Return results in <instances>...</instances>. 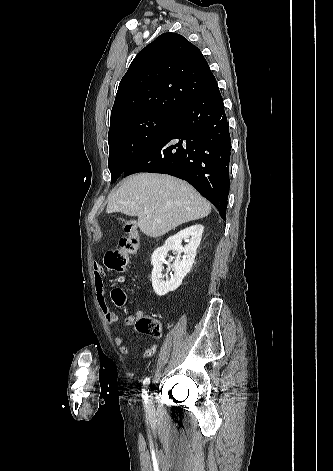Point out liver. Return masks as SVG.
I'll return each instance as SVG.
<instances>
[{
  "label": "liver",
  "instance_id": "6515ba94",
  "mask_svg": "<svg viewBox=\"0 0 333 471\" xmlns=\"http://www.w3.org/2000/svg\"><path fill=\"white\" fill-rule=\"evenodd\" d=\"M106 212L137 216L141 232L156 238L183 223L208 216L211 206L181 179L138 173L125 179L110 195Z\"/></svg>",
  "mask_w": 333,
  "mask_h": 471
}]
</instances>
